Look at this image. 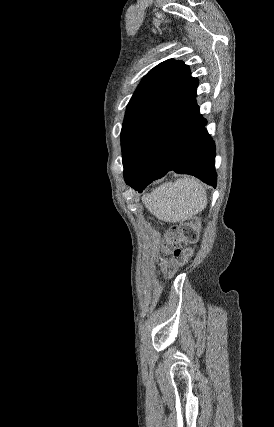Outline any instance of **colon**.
Masks as SVG:
<instances>
[{"label": "colon", "instance_id": "1", "mask_svg": "<svg viewBox=\"0 0 274 427\" xmlns=\"http://www.w3.org/2000/svg\"><path fill=\"white\" fill-rule=\"evenodd\" d=\"M198 230L199 221L196 217L172 224L162 248H186L187 254H193V245L197 242Z\"/></svg>", "mask_w": 274, "mask_h": 427}]
</instances>
